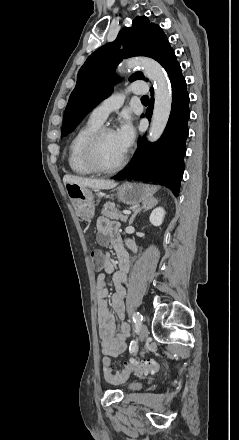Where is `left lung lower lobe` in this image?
<instances>
[{"label":"left lung lower lobe","instance_id":"1","mask_svg":"<svg viewBox=\"0 0 239 440\" xmlns=\"http://www.w3.org/2000/svg\"><path fill=\"white\" fill-rule=\"evenodd\" d=\"M162 66L168 72L172 85V108L167 126L161 138L153 144L147 143L145 136L139 137V146L130 165L113 179H145L168 183L178 196L180 181L184 171L183 157L186 153L185 141L188 136L187 122L190 118L189 95L186 81L176 60L173 49L167 54ZM151 96L154 91L150 89ZM154 98L150 99L146 116H152Z\"/></svg>","mask_w":239,"mask_h":440}]
</instances>
